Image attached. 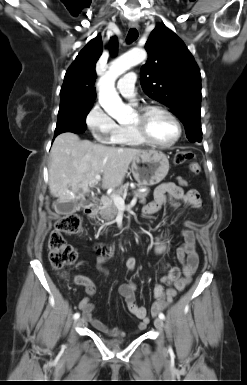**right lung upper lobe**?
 Listing matches in <instances>:
<instances>
[{
	"label": "right lung upper lobe",
	"instance_id": "cb5924a9",
	"mask_svg": "<svg viewBox=\"0 0 247 385\" xmlns=\"http://www.w3.org/2000/svg\"><path fill=\"white\" fill-rule=\"evenodd\" d=\"M118 43L112 37L109 43L111 55H116ZM102 40L100 36L92 39L78 54L75 61L68 68L64 83L60 91V99H76L81 101H94L96 91L95 65L102 54Z\"/></svg>",
	"mask_w": 247,
	"mask_h": 385
}]
</instances>
